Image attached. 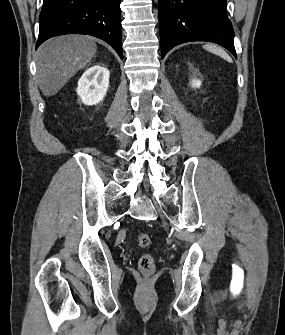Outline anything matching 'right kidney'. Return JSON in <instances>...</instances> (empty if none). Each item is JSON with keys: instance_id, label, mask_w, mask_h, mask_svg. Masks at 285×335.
I'll return each instance as SVG.
<instances>
[{"instance_id": "1", "label": "right kidney", "mask_w": 285, "mask_h": 335, "mask_svg": "<svg viewBox=\"0 0 285 335\" xmlns=\"http://www.w3.org/2000/svg\"><path fill=\"white\" fill-rule=\"evenodd\" d=\"M109 70L102 66H92L84 72L78 82L76 90L83 104L94 106L102 102L109 88Z\"/></svg>"}]
</instances>
